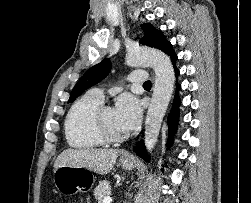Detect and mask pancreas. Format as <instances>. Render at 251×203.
Segmentation results:
<instances>
[{"instance_id":"1","label":"pancreas","mask_w":251,"mask_h":203,"mask_svg":"<svg viewBox=\"0 0 251 203\" xmlns=\"http://www.w3.org/2000/svg\"><path fill=\"white\" fill-rule=\"evenodd\" d=\"M110 193V182L106 180L100 181L98 186L94 189L95 199L98 200L99 203H102L103 198Z\"/></svg>"}]
</instances>
